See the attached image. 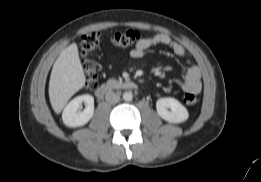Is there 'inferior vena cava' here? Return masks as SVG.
Here are the masks:
<instances>
[{
    "mask_svg": "<svg viewBox=\"0 0 261 182\" xmlns=\"http://www.w3.org/2000/svg\"><path fill=\"white\" fill-rule=\"evenodd\" d=\"M105 99L107 102H109L111 104H116L120 101V96L113 91H109L106 93Z\"/></svg>",
    "mask_w": 261,
    "mask_h": 182,
    "instance_id": "602c4592",
    "label": "inferior vena cava"
}]
</instances>
